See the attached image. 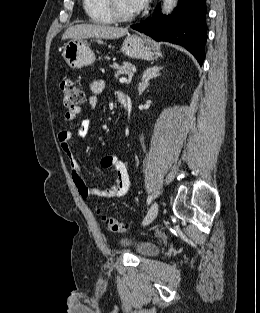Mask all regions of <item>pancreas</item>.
<instances>
[{
	"mask_svg": "<svg viewBox=\"0 0 260 313\" xmlns=\"http://www.w3.org/2000/svg\"><path fill=\"white\" fill-rule=\"evenodd\" d=\"M112 67L115 70L116 78L121 75H131L133 70V66L129 62H123L122 65L114 64Z\"/></svg>",
	"mask_w": 260,
	"mask_h": 313,
	"instance_id": "pancreas-1",
	"label": "pancreas"
}]
</instances>
